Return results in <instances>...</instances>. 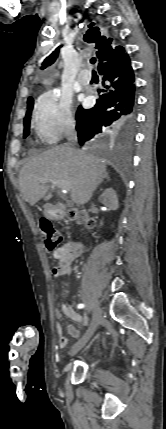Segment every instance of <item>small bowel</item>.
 <instances>
[{"label": "small bowel", "instance_id": "obj_1", "mask_svg": "<svg viewBox=\"0 0 166 429\" xmlns=\"http://www.w3.org/2000/svg\"><path fill=\"white\" fill-rule=\"evenodd\" d=\"M83 251V244L76 241L67 242L59 247L52 254L53 258L58 261V265L53 269V275L55 277H61L71 274L73 262L81 256ZM55 315L57 319H61L62 316L65 315L74 322H83L82 316L79 315L69 304H62L61 310H56ZM67 332L74 338L79 337V331L72 325L67 326ZM57 333L60 347H67L68 340L65 337L60 324H57Z\"/></svg>", "mask_w": 166, "mask_h": 429}]
</instances>
